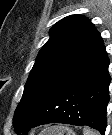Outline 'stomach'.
<instances>
[{"mask_svg": "<svg viewBox=\"0 0 112 135\" xmlns=\"http://www.w3.org/2000/svg\"><path fill=\"white\" fill-rule=\"evenodd\" d=\"M48 132H49L48 134H54V135H64V134L75 135V133L72 130L62 125L54 126L51 128V131H48Z\"/></svg>", "mask_w": 112, "mask_h": 135, "instance_id": "1", "label": "stomach"}]
</instances>
